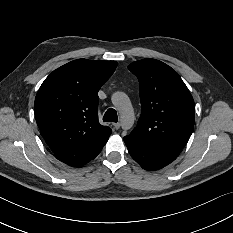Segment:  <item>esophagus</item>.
<instances>
[{
    "label": "esophagus",
    "instance_id": "esophagus-1",
    "mask_svg": "<svg viewBox=\"0 0 233 233\" xmlns=\"http://www.w3.org/2000/svg\"><path fill=\"white\" fill-rule=\"evenodd\" d=\"M113 127L118 130L120 128V123H113Z\"/></svg>",
    "mask_w": 233,
    "mask_h": 233
}]
</instances>
